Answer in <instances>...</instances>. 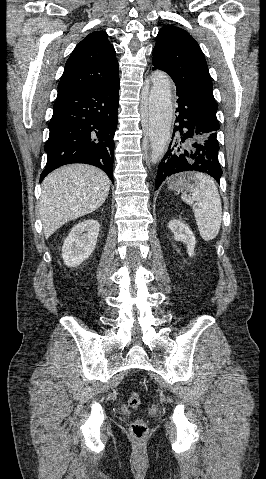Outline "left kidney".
Wrapping results in <instances>:
<instances>
[{
	"mask_svg": "<svg viewBox=\"0 0 266 479\" xmlns=\"http://www.w3.org/2000/svg\"><path fill=\"white\" fill-rule=\"evenodd\" d=\"M168 228L172 231L176 241H181L186 244L188 255L193 256L196 240L190 228L176 219L169 222Z\"/></svg>",
	"mask_w": 266,
	"mask_h": 479,
	"instance_id": "obj_1",
	"label": "left kidney"
}]
</instances>
